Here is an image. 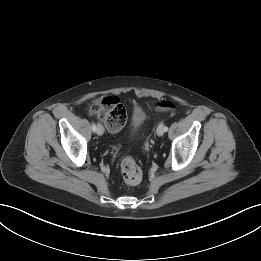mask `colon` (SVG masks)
<instances>
[{"label": "colon", "instance_id": "1", "mask_svg": "<svg viewBox=\"0 0 261 261\" xmlns=\"http://www.w3.org/2000/svg\"><path fill=\"white\" fill-rule=\"evenodd\" d=\"M156 108L161 111H172L175 106L169 101H162L156 104ZM91 109L111 131L120 130L126 123V109L116 96H107L95 101ZM120 172L127 185L134 186L142 180V170L131 157H125L121 161Z\"/></svg>", "mask_w": 261, "mask_h": 261}]
</instances>
